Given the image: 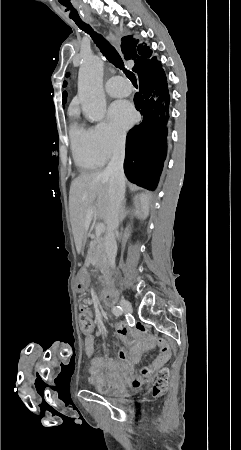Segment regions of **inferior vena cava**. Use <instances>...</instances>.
Here are the masks:
<instances>
[{
  "label": "inferior vena cava",
  "instance_id": "obj_1",
  "mask_svg": "<svg viewBox=\"0 0 241 450\" xmlns=\"http://www.w3.org/2000/svg\"><path fill=\"white\" fill-rule=\"evenodd\" d=\"M125 140L126 136L120 138L113 154V158H111V162H109L107 168H105L103 172V174L109 176L110 222L107 226L104 246L110 268H115L117 252L115 232L118 230L122 218H124L122 202L125 194V176L123 170Z\"/></svg>",
  "mask_w": 241,
  "mask_h": 450
}]
</instances>
